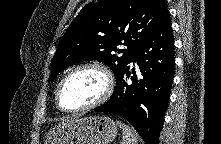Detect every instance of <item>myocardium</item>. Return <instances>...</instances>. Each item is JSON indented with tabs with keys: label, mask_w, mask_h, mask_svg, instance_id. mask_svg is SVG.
Here are the masks:
<instances>
[{
	"label": "myocardium",
	"mask_w": 221,
	"mask_h": 144,
	"mask_svg": "<svg viewBox=\"0 0 221 144\" xmlns=\"http://www.w3.org/2000/svg\"><path fill=\"white\" fill-rule=\"evenodd\" d=\"M88 68L96 69L103 74L105 81H106V86H105L104 92L97 100H95L94 102L87 104L85 106L78 107V108L65 107L62 104L61 96H62V90H63V87H64L66 81L76 72L83 70V69H88ZM113 90H114V78H113L111 72L109 71V69L98 62H87V63H83V64H80V65L74 67L62 78V80L58 84L55 99H56V104L61 111L67 112V113H77V112H82V111H87V110L93 109V108L98 107L101 104L105 103L112 95Z\"/></svg>",
	"instance_id": "myocardium-1"
}]
</instances>
